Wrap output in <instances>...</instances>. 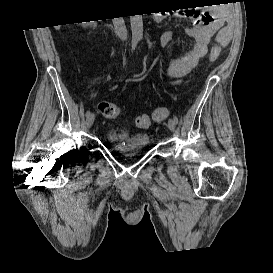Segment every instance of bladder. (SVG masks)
Here are the masks:
<instances>
[{
  "label": "bladder",
  "instance_id": "obj_1",
  "mask_svg": "<svg viewBox=\"0 0 273 273\" xmlns=\"http://www.w3.org/2000/svg\"><path fill=\"white\" fill-rule=\"evenodd\" d=\"M106 139L111 149L120 157H128L144 151L149 146L147 133H131L128 130H109Z\"/></svg>",
  "mask_w": 273,
  "mask_h": 273
}]
</instances>
